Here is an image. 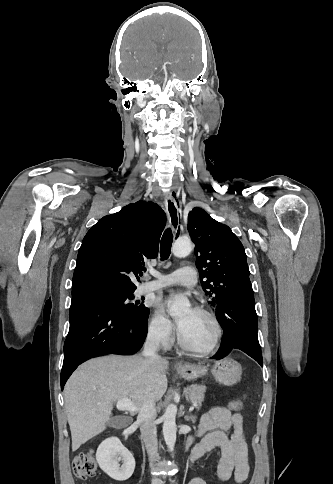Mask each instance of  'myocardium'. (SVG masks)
I'll use <instances>...</instances> for the list:
<instances>
[{
	"label": "myocardium",
	"instance_id": "f54148a6",
	"mask_svg": "<svg viewBox=\"0 0 333 484\" xmlns=\"http://www.w3.org/2000/svg\"><path fill=\"white\" fill-rule=\"evenodd\" d=\"M193 310H195L196 312H199L201 314L206 315L213 322V324L215 326V330H216L215 337H214L212 343L210 344V346H208L207 348L198 349V348L190 346L184 340V338L182 337V335H181V333L178 329V332H177L178 344L183 350L190 352L194 355H197V356L210 355L211 353H213L217 349V347L220 344V341H221L222 335H223L222 325H221L218 317L216 316V314L213 311H211V310H209L205 307H201V306H197Z\"/></svg>",
	"mask_w": 333,
	"mask_h": 484
}]
</instances>
